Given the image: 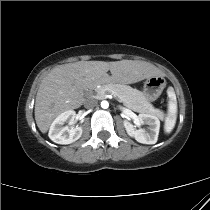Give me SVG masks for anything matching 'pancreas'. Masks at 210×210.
Instances as JSON below:
<instances>
[{
	"instance_id": "1",
	"label": "pancreas",
	"mask_w": 210,
	"mask_h": 210,
	"mask_svg": "<svg viewBox=\"0 0 210 210\" xmlns=\"http://www.w3.org/2000/svg\"><path fill=\"white\" fill-rule=\"evenodd\" d=\"M109 91H112L123 104L135 112L157 115L158 111L146 99L143 92L130 86L117 83H108L96 89V97L104 98Z\"/></svg>"
}]
</instances>
